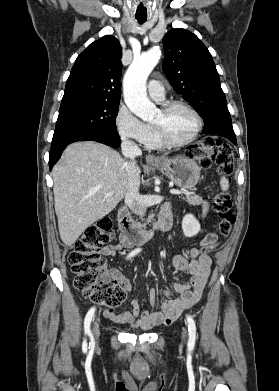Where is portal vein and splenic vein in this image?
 <instances>
[{
    "label": "portal vein and splenic vein",
    "instance_id": "portal-vein-and-splenic-vein-1",
    "mask_svg": "<svg viewBox=\"0 0 279 391\" xmlns=\"http://www.w3.org/2000/svg\"><path fill=\"white\" fill-rule=\"evenodd\" d=\"M170 193H171V194H180V193H181V191H179V190H176V189H171V190H170ZM111 195H113V193H112V192H110V193H107L105 196H106V197H108V196H111Z\"/></svg>",
    "mask_w": 279,
    "mask_h": 391
}]
</instances>
